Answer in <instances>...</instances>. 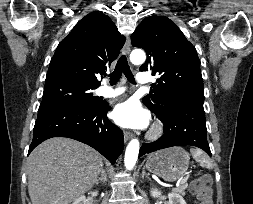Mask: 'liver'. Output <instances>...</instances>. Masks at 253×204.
Returning a JSON list of instances; mask_svg holds the SVG:
<instances>
[{
  "instance_id": "liver-1",
  "label": "liver",
  "mask_w": 253,
  "mask_h": 204,
  "mask_svg": "<svg viewBox=\"0 0 253 204\" xmlns=\"http://www.w3.org/2000/svg\"><path fill=\"white\" fill-rule=\"evenodd\" d=\"M102 168V156L83 143L64 137L44 141L27 161L32 204H70L93 187Z\"/></svg>"
}]
</instances>
